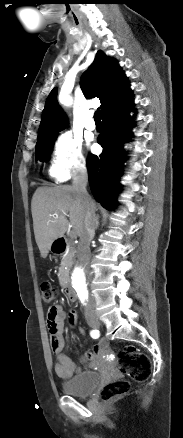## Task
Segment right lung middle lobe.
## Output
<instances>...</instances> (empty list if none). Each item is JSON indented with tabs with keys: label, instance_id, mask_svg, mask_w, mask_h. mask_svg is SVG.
Returning <instances> with one entry per match:
<instances>
[{
	"label": "right lung middle lobe",
	"instance_id": "dd1d6c3e",
	"mask_svg": "<svg viewBox=\"0 0 183 438\" xmlns=\"http://www.w3.org/2000/svg\"><path fill=\"white\" fill-rule=\"evenodd\" d=\"M55 139L56 133L37 138L35 149L36 160L44 161L49 158Z\"/></svg>",
	"mask_w": 183,
	"mask_h": 438
}]
</instances>
